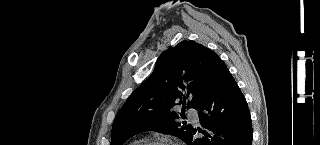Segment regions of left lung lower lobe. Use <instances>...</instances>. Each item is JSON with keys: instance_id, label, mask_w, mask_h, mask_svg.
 I'll list each match as a JSON object with an SVG mask.
<instances>
[{"instance_id": "obj_1", "label": "left lung lower lobe", "mask_w": 320, "mask_h": 145, "mask_svg": "<svg viewBox=\"0 0 320 145\" xmlns=\"http://www.w3.org/2000/svg\"><path fill=\"white\" fill-rule=\"evenodd\" d=\"M199 120L205 135L195 138L196 129L187 145H251L253 131L245 97L226 64L219 59L206 73L201 85Z\"/></svg>"}]
</instances>
